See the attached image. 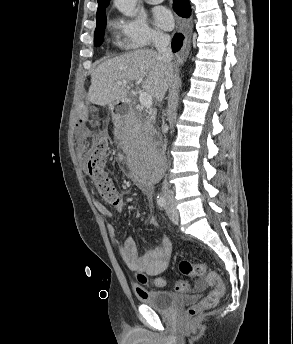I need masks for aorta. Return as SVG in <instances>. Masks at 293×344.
Wrapping results in <instances>:
<instances>
[{"label":"aorta","mask_w":293,"mask_h":344,"mask_svg":"<svg viewBox=\"0 0 293 344\" xmlns=\"http://www.w3.org/2000/svg\"><path fill=\"white\" fill-rule=\"evenodd\" d=\"M136 1L137 0H114V4L122 14L133 17L136 14Z\"/></svg>","instance_id":"aorta-1"}]
</instances>
